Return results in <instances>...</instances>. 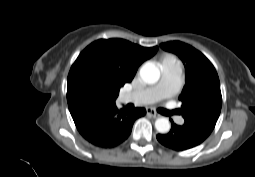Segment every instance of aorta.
Segmentation results:
<instances>
[{
    "label": "aorta",
    "instance_id": "1",
    "mask_svg": "<svg viewBox=\"0 0 255 177\" xmlns=\"http://www.w3.org/2000/svg\"><path fill=\"white\" fill-rule=\"evenodd\" d=\"M140 78L146 84H154L160 78V70L153 63H145L140 69ZM155 128L159 133H167L171 125L167 118L161 117L155 121Z\"/></svg>",
    "mask_w": 255,
    "mask_h": 177
}]
</instances>
